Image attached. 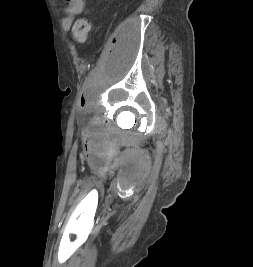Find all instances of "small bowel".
Returning <instances> with one entry per match:
<instances>
[{
	"label": "small bowel",
	"instance_id": "obj_1",
	"mask_svg": "<svg viewBox=\"0 0 253 267\" xmlns=\"http://www.w3.org/2000/svg\"><path fill=\"white\" fill-rule=\"evenodd\" d=\"M64 2L62 27L64 30H69L76 17L84 11L86 2L85 0H64Z\"/></svg>",
	"mask_w": 253,
	"mask_h": 267
}]
</instances>
